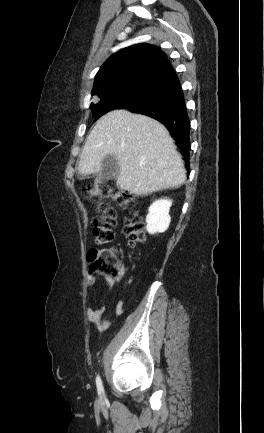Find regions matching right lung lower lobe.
<instances>
[{
  "mask_svg": "<svg viewBox=\"0 0 264 433\" xmlns=\"http://www.w3.org/2000/svg\"><path fill=\"white\" fill-rule=\"evenodd\" d=\"M127 106L164 124L189 164L190 121L180 81L169 61L147 78Z\"/></svg>",
  "mask_w": 264,
  "mask_h": 433,
  "instance_id": "obj_1",
  "label": "right lung lower lobe"
}]
</instances>
